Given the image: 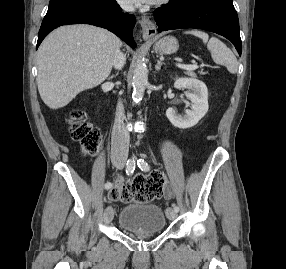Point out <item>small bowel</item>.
<instances>
[{
	"label": "small bowel",
	"mask_w": 286,
	"mask_h": 269,
	"mask_svg": "<svg viewBox=\"0 0 286 269\" xmlns=\"http://www.w3.org/2000/svg\"><path fill=\"white\" fill-rule=\"evenodd\" d=\"M164 197L167 200L172 199L174 197V191H173V188L170 185H167L165 187Z\"/></svg>",
	"instance_id": "small-bowel-1"
}]
</instances>
